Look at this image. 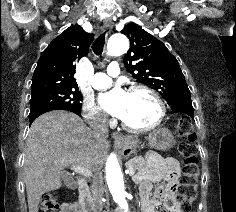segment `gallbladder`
<instances>
[{"mask_svg":"<svg viewBox=\"0 0 236 212\" xmlns=\"http://www.w3.org/2000/svg\"><path fill=\"white\" fill-rule=\"evenodd\" d=\"M62 180L65 183V185H67V186H73L74 185L73 179L71 177L67 176V175L63 176Z\"/></svg>","mask_w":236,"mask_h":212,"instance_id":"1","label":"gallbladder"}]
</instances>
